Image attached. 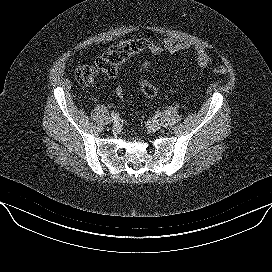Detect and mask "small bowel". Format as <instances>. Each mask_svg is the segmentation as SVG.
<instances>
[{"mask_svg": "<svg viewBox=\"0 0 272 272\" xmlns=\"http://www.w3.org/2000/svg\"><path fill=\"white\" fill-rule=\"evenodd\" d=\"M146 47L155 55H159L164 52L175 54L193 48L195 62L201 68H207L211 60L203 46H194L190 41L178 40L174 37L147 41Z\"/></svg>", "mask_w": 272, "mask_h": 272, "instance_id": "small-bowel-1", "label": "small bowel"}]
</instances>
